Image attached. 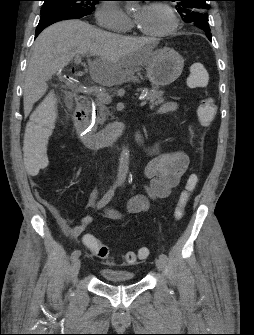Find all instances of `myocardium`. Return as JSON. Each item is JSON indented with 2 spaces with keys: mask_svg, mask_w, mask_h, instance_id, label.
Wrapping results in <instances>:
<instances>
[{
  "mask_svg": "<svg viewBox=\"0 0 254 335\" xmlns=\"http://www.w3.org/2000/svg\"><path fill=\"white\" fill-rule=\"evenodd\" d=\"M155 7H160L162 9H164L170 16L171 18V25L168 29H166L165 31L159 32V33H149L146 32L145 30L141 29V27L139 25H137L138 30L140 31V33L146 35V36H150V37H155V38H165L168 37L170 35H172L178 28L179 26V19L178 16L175 12V10L166 3L163 2H155L154 4H152Z\"/></svg>",
  "mask_w": 254,
  "mask_h": 335,
  "instance_id": "myocardium-1",
  "label": "myocardium"
}]
</instances>
